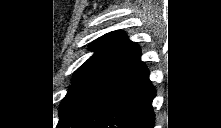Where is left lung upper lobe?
<instances>
[{"label":"left lung upper lobe","mask_w":221,"mask_h":128,"mask_svg":"<svg viewBox=\"0 0 221 128\" xmlns=\"http://www.w3.org/2000/svg\"><path fill=\"white\" fill-rule=\"evenodd\" d=\"M90 48L95 51L76 71L59 108L57 127L82 112L142 62L140 47L124 31L109 32Z\"/></svg>","instance_id":"left-lung-upper-lobe-1"}]
</instances>
